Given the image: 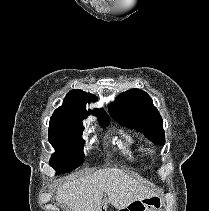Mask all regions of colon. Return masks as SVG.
Listing matches in <instances>:
<instances>
[{
  "label": "colon",
  "instance_id": "obj_1",
  "mask_svg": "<svg viewBox=\"0 0 209 211\" xmlns=\"http://www.w3.org/2000/svg\"><path fill=\"white\" fill-rule=\"evenodd\" d=\"M159 200L157 198H150L144 200H135L130 203L126 208L120 211H145L150 205H158Z\"/></svg>",
  "mask_w": 209,
  "mask_h": 211
}]
</instances>
